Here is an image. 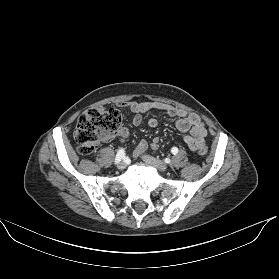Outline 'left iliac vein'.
I'll use <instances>...</instances> for the list:
<instances>
[{"instance_id":"1","label":"left iliac vein","mask_w":279,"mask_h":279,"mask_svg":"<svg viewBox=\"0 0 279 279\" xmlns=\"http://www.w3.org/2000/svg\"><path fill=\"white\" fill-rule=\"evenodd\" d=\"M142 159L145 162H147L148 164L153 165L154 167H156L159 171L165 172V171L168 170V166L164 162H162L158 159H155L151 156L143 155Z\"/></svg>"}]
</instances>
